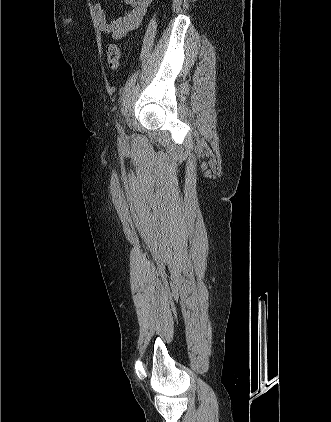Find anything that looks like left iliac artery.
<instances>
[{"mask_svg": "<svg viewBox=\"0 0 331 422\" xmlns=\"http://www.w3.org/2000/svg\"><path fill=\"white\" fill-rule=\"evenodd\" d=\"M117 128H118L119 130H121V129H120V124H119V123H117Z\"/></svg>", "mask_w": 331, "mask_h": 422, "instance_id": "left-iliac-artery-1", "label": "left iliac artery"}]
</instances>
